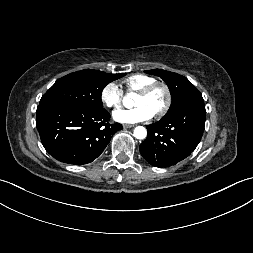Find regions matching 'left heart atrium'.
I'll list each match as a JSON object with an SVG mask.
<instances>
[{
	"label": "left heart atrium",
	"mask_w": 253,
	"mask_h": 253,
	"mask_svg": "<svg viewBox=\"0 0 253 253\" xmlns=\"http://www.w3.org/2000/svg\"><path fill=\"white\" fill-rule=\"evenodd\" d=\"M153 112L145 105H136L129 109H119L113 113L115 121L123 124H134L148 121L153 117Z\"/></svg>",
	"instance_id": "left-heart-atrium-1"
}]
</instances>
